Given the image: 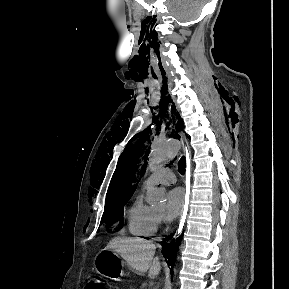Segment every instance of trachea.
I'll return each mask as SVG.
<instances>
[{
  "instance_id": "obj_1",
  "label": "trachea",
  "mask_w": 289,
  "mask_h": 289,
  "mask_svg": "<svg viewBox=\"0 0 289 289\" xmlns=\"http://www.w3.org/2000/svg\"><path fill=\"white\" fill-rule=\"evenodd\" d=\"M186 167L185 157H182L178 162V171L181 175H184Z\"/></svg>"
}]
</instances>
